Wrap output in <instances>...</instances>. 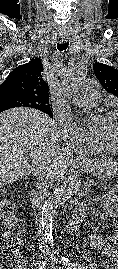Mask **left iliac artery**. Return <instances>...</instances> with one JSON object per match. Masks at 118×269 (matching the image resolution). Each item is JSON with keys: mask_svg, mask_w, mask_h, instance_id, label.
I'll use <instances>...</instances> for the list:
<instances>
[{"mask_svg": "<svg viewBox=\"0 0 118 269\" xmlns=\"http://www.w3.org/2000/svg\"><path fill=\"white\" fill-rule=\"evenodd\" d=\"M61 261L66 269H76L75 264L70 261L67 257L61 256Z\"/></svg>", "mask_w": 118, "mask_h": 269, "instance_id": "left-iliac-artery-1", "label": "left iliac artery"}]
</instances>
